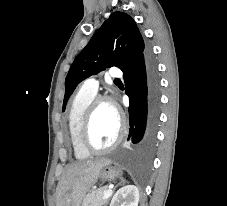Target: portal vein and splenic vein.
Returning a JSON list of instances; mask_svg holds the SVG:
<instances>
[{"label":"portal vein and splenic vein","instance_id":"obj_1","mask_svg":"<svg viewBox=\"0 0 227 206\" xmlns=\"http://www.w3.org/2000/svg\"><path fill=\"white\" fill-rule=\"evenodd\" d=\"M111 195H112V190H111V189H108V190L104 193L102 199H107V198H109Z\"/></svg>","mask_w":227,"mask_h":206}]
</instances>
